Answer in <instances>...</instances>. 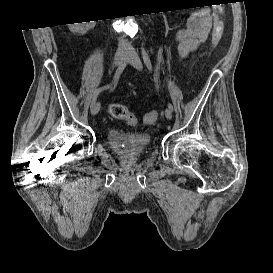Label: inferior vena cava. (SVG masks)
I'll list each match as a JSON object with an SVG mask.
<instances>
[{
  "label": "inferior vena cava",
  "instance_id": "inferior-vena-cava-1",
  "mask_svg": "<svg viewBox=\"0 0 273 273\" xmlns=\"http://www.w3.org/2000/svg\"><path fill=\"white\" fill-rule=\"evenodd\" d=\"M119 46L120 47H129L130 43L124 37H121V38H119Z\"/></svg>",
  "mask_w": 273,
  "mask_h": 273
}]
</instances>
